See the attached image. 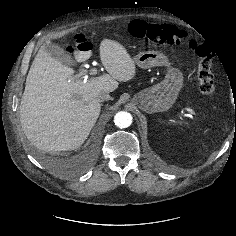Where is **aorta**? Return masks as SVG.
<instances>
[{"instance_id":"1","label":"aorta","mask_w":236,"mask_h":236,"mask_svg":"<svg viewBox=\"0 0 236 236\" xmlns=\"http://www.w3.org/2000/svg\"><path fill=\"white\" fill-rule=\"evenodd\" d=\"M114 123L119 128H127L132 123V115L128 112L121 111L116 113L114 117Z\"/></svg>"}]
</instances>
